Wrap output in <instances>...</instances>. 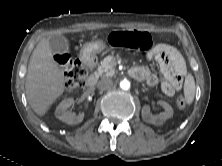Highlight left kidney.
<instances>
[{
	"label": "left kidney",
	"mask_w": 222,
	"mask_h": 166,
	"mask_svg": "<svg viewBox=\"0 0 222 166\" xmlns=\"http://www.w3.org/2000/svg\"><path fill=\"white\" fill-rule=\"evenodd\" d=\"M159 104L164 108V112L158 115H152L150 107L145 105L142 108V118L144 121L154 125H162L167 119L173 116V108L165 101H159Z\"/></svg>",
	"instance_id": "1"
}]
</instances>
